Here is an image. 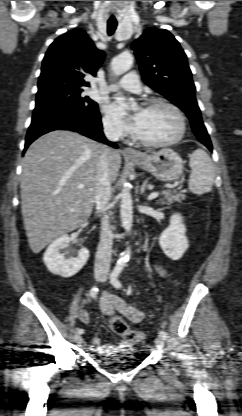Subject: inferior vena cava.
Instances as JSON below:
<instances>
[{
	"instance_id": "obj_1",
	"label": "inferior vena cava",
	"mask_w": 242,
	"mask_h": 416,
	"mask_svg": "<svg viewBox=\"0 0 242 416\" xmlns=\"http://www.w3.org/2000/svg\"><path fill=\"white\" fill-rule=\"evenodd\" d=\"M104 134L109 141L117 142L119 130L109 121L103 122ZM112 149L104 147L97 165L95 205L97 212L102 213L100 242L95 257V271L109 272L112 256L113 233L109 222L107 208L111 199V179L109 176V161Z\"/></svg>"
}]
</instances>
